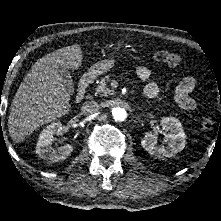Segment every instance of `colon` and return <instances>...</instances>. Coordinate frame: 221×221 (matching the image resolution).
<instances>
[{"instance_id":"5ec220e1","label":"colon","mask_w":221,"mask_h":221,"mask_svg":"<svg viewBox=\"0 0 221 221\" xmlns=\"http://www.w3.org/2000/svg\"><path fill=\"white\" fill-rule=\"evenodd\" d=\"M153 59L156 62L163 63L169 66H178L181 63V56L177 53H173L167 50H159L154 52ZM204 130H209L213 127V121L209 118H204L200 123Z\"/></svg>"}]
</instances>
